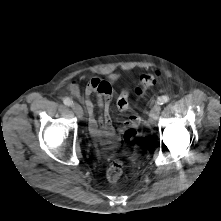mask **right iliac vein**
Segmentation results:
<instances>
[{
	"label": "right iliac vein",
	"mask_w": 221,
	"mask_h": 221,
	"mask_svg": "<svg viewBox=\"0 0 221 221\" xmlns=\"http://www.w3.org/2000/svg\"><path fill=\"white\" fill-rule=\"evenodd\" d=\"M72 109H73V111L76 113V115L79 117V118H82L83 117V109H82V107L79 105V104H77V103H74L73 105H72Z\"/></svg>",
	"instance_id": "1"
}]
</instances>
